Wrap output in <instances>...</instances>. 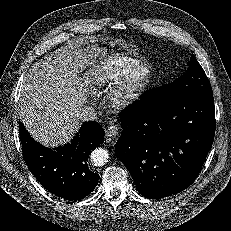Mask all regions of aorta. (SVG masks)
Listing matches in <instances>:
<instances>
[{
    "label": "aorta",
    "mask_w": 231,
    "mask_h": 231,
    "mask_svg": "<svg viewBox=\"0 0 231 231\" xmlns=\"http://www.w3.org/2000/svg\"><path fill=\"white\" fill-rule=\"evenodd\" d=\"M91 161L95 166H103L108 162V151L103 148H96L91 152Z\"/></svg>",
    "instance_id": "obj_1"
}]
</instances>
